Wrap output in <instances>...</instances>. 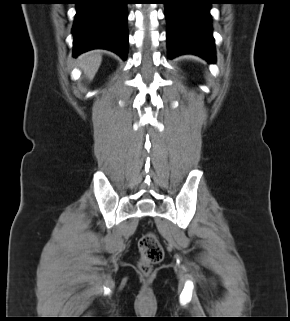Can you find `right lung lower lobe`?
<instances>
[{
  "label": "right lung lower lobe",
  "instance_id": "obj_1",
  "mask_svg": "<svg viewBox=\"0 0 290 321\" xmlns=\"http://www.w3.org/2000/svg\"><path fill=\"white\" fill-rule=\"evenodd\" d=\"M77 13L72 29L74 56L104 48L123 60L128 52L126 0H77Z\"/></svg>",
  "mask_w": 290,
  "mask_h": 321
}]
</instances>
